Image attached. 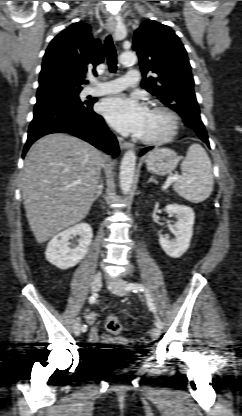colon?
I'll use <instances>...</instances> for the list:
<instances>
[{"instance_id": "colon-1", "label": "colon", "mask_w": 242, "mask_h": 416, "mask_svg": "<svg viewBox=\"0 0 242 416\" xmlns=\"http://www.w3.org/2000/svg\"><path fill=\"white\" fill-rule=\"evenodd\" d=\"M105 327L106 330L111 334H119L123 330V325L121 321L115 316H110L107 318L105 322Z\"/></svg>"}]
</instances>
